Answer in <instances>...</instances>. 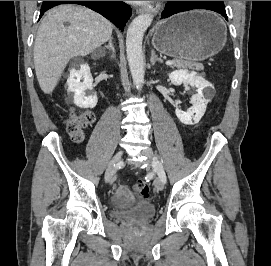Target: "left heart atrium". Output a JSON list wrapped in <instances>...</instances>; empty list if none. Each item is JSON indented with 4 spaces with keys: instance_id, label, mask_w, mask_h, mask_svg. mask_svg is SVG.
I'll return each instance as SVG.
<instances>
[{
    "instance_id": "left-heart-atrium-1",
    "label": "left heart atrium",
    "mask_w": 271,
    "mask_h": 266,
    "mask_svg": "<svg viewBox=\"0 0 271 266\" xmlns=\"http://www.w3.org/2000/svg\"><path fill=\"white\" fill-rule=\"evenodd\" d=\"M131 2L137 3V4H142V3H146V2H148V1H131Z\"/></svg>"
}]
</instances>
